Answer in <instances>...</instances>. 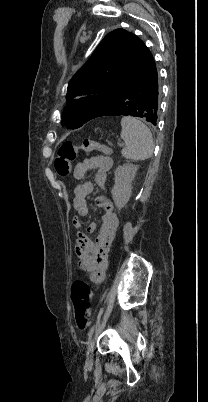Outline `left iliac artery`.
<instances>
[{"mask_svg": "<svg viewBox=\"0 0 208 402\" xmlns=\"http://www.w3.org/2000/svg\"><path fill=\"white\" fill-rule=\"evenodd\" d=\"M94 330H95V325H93V326L90 328L89 332H88V340H87V342H86L87 345L90 343V340H91V337H92V335H93V333H94Z\"/></svg>", "mask_w": 208, "mask_h": 402, "instance_id": "44dca946", "label": "left iliac artery"}]
</instances>
